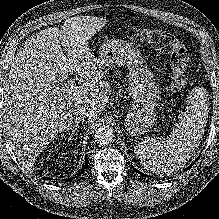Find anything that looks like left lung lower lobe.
Returning a JSON list of instances; mask_svg holds the SVG:
<instances>
[{
    "label": "left lung lower lobe",
    "mask_w": 219,
    "mask_h": 219,
    "mask_svg": "<svg viewBox=\"0 0 219 219\" xmlns=\"http://www.w3.org/2000/svg\"><path fill=\"white\" fill-rule=\"evenodd\" d=\"M196 161H197V159H196ZM195 163V162H194ZM193 163V164H194ZM193 164H191L188 168H190ZM134 168V167H133ZM135 169V168H134ZM136 170V169H135ZM136 172H138V173H140L141 175H144L143 173H141V172H139L138 170H136Z\"/></svg>",
    "instance_id": "left-lung-lower-lobe-1"
}]
</instances>
